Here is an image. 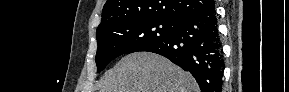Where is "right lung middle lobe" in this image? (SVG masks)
Listing matches in <instances>:
<instances>
[{"label": "right lung middle lobe", "instance_id": "right-lung-middle-lobe-1", "mask_svg": "<svg viewBox=\"0 0 289 92\" xmlns=\"http://www.w3.org/2000/svg\"><path fill=\"white\" fill-rule=\"evenodd\" d=\"M174 29V21L144 18L122 21L97 31V72L120 55L140 51L168 39Z\"/></svg>", "mask_w": 289, "mask_h": 92}]
</instances>
